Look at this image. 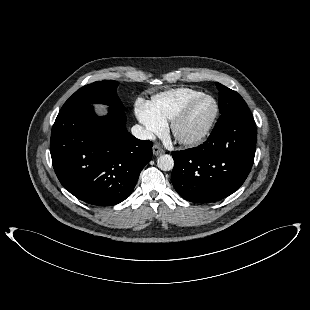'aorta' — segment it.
<instances>
[{"mask_svg": "<svg viewBox=\"0 0 310 310\" xmlns=\"http://www.w3.org/2000/svg\"><path fill=\"white\" fill-rule=\"evenodd\" d=\"M157 166L163 171H170L174 167V160L168 154L161 155L157 160Z\"/></svg>", "mask_w": 310, "mask_h": 310, "instance_id": "obj_1", "label": "aorta"}]
</instances>
